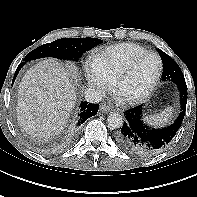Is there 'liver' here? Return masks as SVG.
<instances>
[{
    "label": "liver",
    "mask_w": 197,
    "mask_h": 197,
    "mask_svg": "<svg viewBox=\"0 0 197 197\" xmlns=\"http://www.w3.org/2000/svg\"><path fill=\"white\" fill-rule=\"evenodd\" d=\"M67 68L48 58L31 67L19 83L17 120L39 141L46 142L62 132L74 108L77 69L73 64Z\"/></svg>",
    "instance_id": "obj_1"
}]
</instances>
